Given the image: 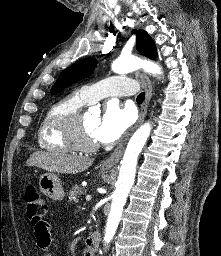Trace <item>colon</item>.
<instances>
[{
    "label": "colon",
    "instance_id": "1",
    "mask_svg": "<svg viewBox=\"0 0 221 256\" xmlns=\"http://www.w3.org/2000/svg\"><path fill=\"white\" fill-rule=\"evenodd\" d=\"M27 217L35 229L46 227L47 203L34 186L27 187L25 191Z\"/></svg>",
    "mask_w": 221,
    "mask_h": 256
}]
</instances>
